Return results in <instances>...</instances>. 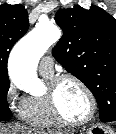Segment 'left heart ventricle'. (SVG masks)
Here are the masks:
<instances>
[{"instance_id": "1", "label": "left heart ventricle", "mask_w": 116, "mask_h": 134, "mask_svg": "<svg viewBox=\"0 0 116 134\" xmlns=\"http://www.w3.org/2000/svg\"><path fill=\"white\" fill-rule=\"evenodd\" d=\"M56 100L63 116L72 121L82 120L90 111V102L86 93L71 81L60 85L56 93Z\"/></svg>"}]
</instances>
